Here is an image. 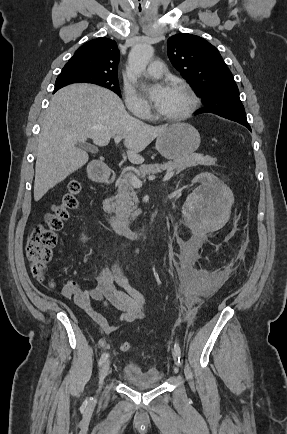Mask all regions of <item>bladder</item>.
<instances>
[{
    "mask_svg": "<svg viewBox=\"0 0 287 434\" xmlns=\"http://www.w3.org/2000/svg\"><path fill=\"white\" fill-rule=\"evenodd\" d=\"M121 378L129 386L144 388L160 385L163 375L155 365L142 367L135 362H129L122 370Z\"/></svg>",
    "mask_w": 287,
    "mask_h": 434,
    "instance_id": "obj_1",
    "label": "bladder"
}]
</instances>
